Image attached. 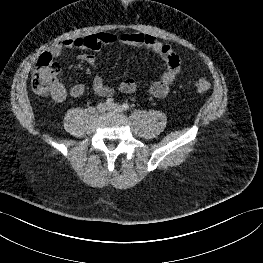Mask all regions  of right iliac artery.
Segmentation results:
<instances>
[{
    "mask_svg": "<svg viewBox=\"0 0 263 263\" xmlns=\"http://www.w3.org/2000/svg\"><path fill=\"white\" fill-rule=\"evenodd\" d=\"M106 104H107L108 106H111V105L113 104V99H112V98H108V99L106 100Z\"/></svg>",
    "mask_w": 263,
    "mask_h": 263,
    "instance_id": "1",
    "label": "right iliac artery"
}]
</instances>
